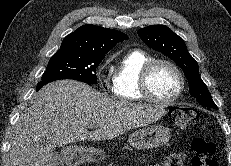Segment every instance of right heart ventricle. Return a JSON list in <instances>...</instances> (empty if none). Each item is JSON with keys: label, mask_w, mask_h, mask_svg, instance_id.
Returning <instances> with one entry per match:
<instances>
[{"label": "right heart ventricle", "mask_w": 231, "mask_h": 166, "mask_svg": "<svg viewBox=\"0 0 231 166\" xmlns=\"http://www.w3.org/2000/svg\"><path fill=\"white\" fill-rule=\"evenodd\" d=\"M153 58L145 51L132 49L118 61L113 73V94L122 101H139V77L143 66Z\"/></svg>", "instance_id": "right-heart-ventricle-1"}]
</instances>
